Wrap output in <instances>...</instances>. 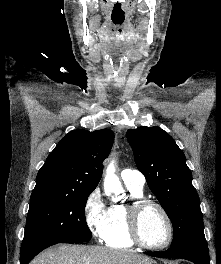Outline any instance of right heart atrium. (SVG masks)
Here are the masks:
<instances>
[{
  "label": "right heart atrium",
  "instance_id": "1",
  "mask_svg": "<svg viewBox=\"0 0 221 264\" xmlns=\"http://www.w3.org/2000/svg\"><path fill=\"white\" fill-rule=\"evenodd\" d=\"M109 208L102 200L99 189L91 191L85 199L83 216L90 233L97 239H102L108 221Z\"/></svg>",
  "mask_w": 221,
  "mask_h": 264
}]
</instances>
